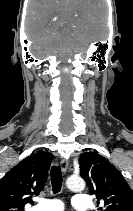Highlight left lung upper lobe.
Segmentation results:
<instances>
[{
    "label": "left lung upper lobe",
    "instance_id": "left-lung-upper-lobe-1",
    "mask_svg": "<svg viewBox=\"0 0 133 211\" xmlns=\"http://www.w3.org/2000/svg\"><path fill=\"white\" fill-rule=\"evenodd\" d=\"M80 175L97 198L102 211H133V191L122 174L103 156L83 153L79 159Z\"/></svg>",
    "mask_w": 133,
    "mask_h": 211
}]
</instances>
